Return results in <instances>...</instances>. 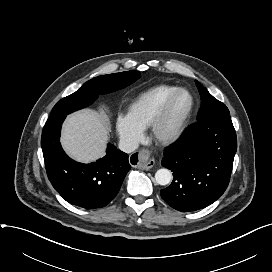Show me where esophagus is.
Masks as SVG:
<instances>
[{
  "instance_id": "esophagus-1",
  "label": "esophagus",
  "mask_w": 272,
  "mask_h": 272,
  "mask_svg": "<svg viewBox=\"0 0 272 272\" xmlns=\"http://www.w3.org/2000/svg\"><path fill=\"white\" fill-rule=\"evenodd\" d=\"M138 162V167L143 170H149L155 165L154 158L151 157L150 151L143 149L138 153L131 156V163L136 165Z\"/></svg>"
}]
</instances>
